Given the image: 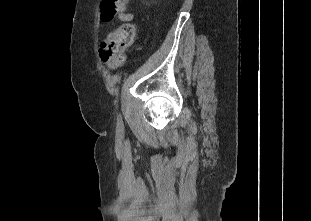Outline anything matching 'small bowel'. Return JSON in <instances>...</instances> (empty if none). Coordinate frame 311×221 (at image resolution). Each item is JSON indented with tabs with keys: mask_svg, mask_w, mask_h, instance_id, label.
I'll return each instance as SVG.
<instances>
[{
	"mask_svg": "<svg viewBox=\"0 0 311 221\" xmlns=\"http://www.w3.org/2000/svg\"><path fill=\"white\" fill-rule=\"evenodd\" d=\"M118 19L122 22H130V21H133L135 19V15L133 13H130V12L120 11L118 13Z\"/></svg>",
	"mask_w": 311,
	"mask_h": 221,
	"instance_id": "obj_1",
	"label": "small bowel"
}]
</instances>
